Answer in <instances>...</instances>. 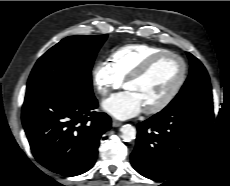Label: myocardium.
<instances>
[{
	"label": "myocardium",
	"mask_w": 230,
	"mask_h": 186,
	"mask_svg": "<svg viewBox=\"0 0 230 186\" xmlns=\"http://www.w3.org/2000/svg\"><path fill=\"white\" fill-rule=\"evenodd\" d=\"M167 57H173L176 58L180 63H181V75L177 83L174 85V87L171 89V91L157 104L144 108V112L146 114H155L158 113L162 110H164L166 107H168L172 101L176 98V96L179 94L181 89L183 88L187 76H188V65L184 58L172 51H165L162 53H159L157 55L152 56L149 58L140 68H138L133 74H131L124 83V86L130 82H134L137 80H140L144 76H146L150 70L162 59L167 58Z\"/></svg>",
	"instance_id": "myocardium-1"
}]
</instances>
